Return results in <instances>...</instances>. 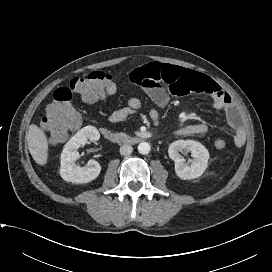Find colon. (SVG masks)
Segmentation results:
<instances>
[{
    "label": "colon",
    "mask_w": 272,
    "mask_h": 272,
    "mask_svg": "<svg viewBox=\"0 0 272 272\" xmlns=\"http://www.w3.org/2000/svg\"><path fill=\"white\" fill-rule=\"evenodd\" d=\"M116 92V84L112 77L101 71H93L85 76L75 77L68 87L58 88L53 99L47 105L43 118V126L53 143L63 141L67 133L77 127L80 116L73 105V94H78L86 102H95ZM142 101L137 97L128 98L126 107L137 111ZM227 143L224 139L214 140L217 149H224Z\"/></svg>",
    "instance_id": "colon-1"
}]
</instances>
